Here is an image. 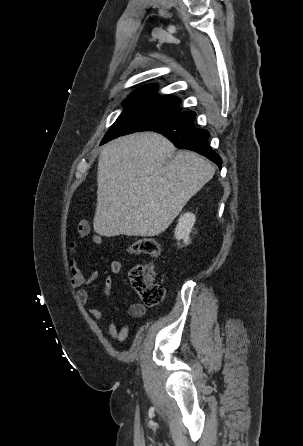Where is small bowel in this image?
Masks as SVG:
<instances>
[{
    "instance_id": "obj_1",
    "label": "small bowel",
    "mask_w": 303,
    "mask_h": 446,
    "mask_svg": "<svg viewBox=\"0 0 303 446\" xmlns=\"http://www.w3.org/2000/svg\"><path fill=\"white\" fill-rule=\"evenodd\" d=\"M91 228L90 224L86 220H82L77 225L76 237L70 243V250L72 257L69 260L70 272H71V286L78 289V299L82 305H86L94 300L93 295L88 290L90 286L98 277L97 272H91L88 276H85L81 269L79 268L78 262L76 260L75 254L77 249V242L80 239L88 236L90 234ZM92 241L96 245L103 244V238L99 234L92 235ZM122 263L120 261H113L110 265L111 274H119L122 271ZM114 284V279L112 275H108L104 281V295L109 297L111 295V290ZM147 312L146 307L140 303H134L130 305L128 309V315L132 318H141ZM91 317L95 319H105L106 314L98 308H91L88 310ZM105 334L109 338H116L121 342L126 341L129 338V328L127 325H122L118 327L115 322L109 321L105 329Z\"/></svg>"
}]
</instances>
